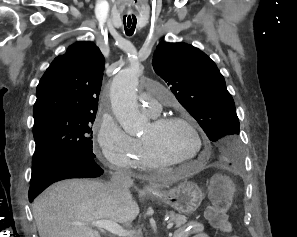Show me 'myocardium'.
Returning a JSON list of instances; mask_svg holds the SVG:
<instances>
[{
    "label": "myocardium",
    "instance_id": "myocardium-1",
    "mask_svg": "<svg viewBox=\"0 0 297 237\" xmlns=\"http://www.w3.org/2000/svg\"><path fill=\"white\" fill-rule=\"evenodd\" d=\"M172 123H181L186 125L193 133L198 144V149L196 154L190 158L183 159V160H172V159H169L166 155H164L153 142H151L148 139H141L142 143L144 144L147 150L149 157L153 160V162L158 167L180 166V165H185L190 162L196 161L199 159L203 150V146H204L203 139L198 129L196 128V126L189 119L182 116H177V115L157 116V117H153L152 119V125L155 128H159Z\"/></svg>",
    "mask_w": 297,
    "mask_h": 237
}]
</instances>
